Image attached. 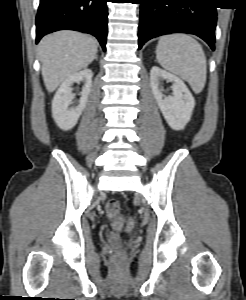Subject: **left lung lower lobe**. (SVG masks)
Listing matches in <instances>:
<instances>
[{"label":"left lung lower lobe","instance_id":"1","mask_svg":"<svg viewBox=\"0 0 246 300\" xmlns=\"http://www.w3.org/2000/svg\"><path fill=\"white\" fill-rule=\"evenodd\" d=\"M141 4L139 49L169 33H189L202 38L215 50L216 7L212 0H138Z\"/></svg>","mask_w":246,"mask_h":300}]
</instances>
